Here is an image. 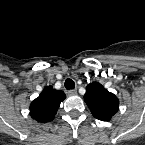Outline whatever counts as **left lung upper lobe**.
Returning a JSON list of instances; mask_svg holds the SVG:
<instances>
[{"label": "left lung upper lobe", "instance_id": "1", "mask_svg": "<svg viewBox=\"0 0 145 145\" xmlns=\"http://www.w3.org/2000/svg\"><path fill=\"white\" fill-rule=\"evenodd\" d=\"M84 100L93 116L101 121H110L119 109L118 98L98 82L87 85Z\"/></svg>", "mask_w": 145, "mask_h": 145}]
</instances>
